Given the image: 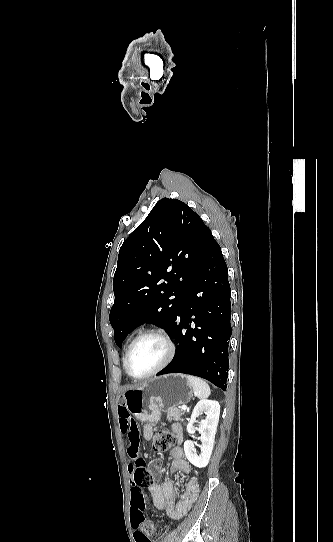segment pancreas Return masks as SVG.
<instances>
[{
  "mask_svg": "<svg viewBox=\"0 0 333 542\" xmlns=\"http://www.w3.org/2000/svg\"><path fill=\"white\" fill-rule=\"evenodd\" d=\"M183 414H185L184 410H179V408H172V410H167L166 420H174V422H177V420H181Z\"/></svg>",
  "mask_w": 333,
  "mask_h": 542,
  "instance_id": "pancreas-1",
  "label": "pancreas"
}]
</instances>
